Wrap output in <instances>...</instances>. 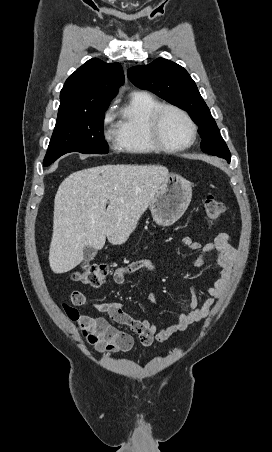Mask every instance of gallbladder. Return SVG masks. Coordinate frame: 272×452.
<instances>
[{
	"mask_svg": "<svg viewBox=\"0 0 272 452\" xmlns=\"http://www.w3.org/2000/svg\"><path fill=\"white\" fill-rule=\"evenodd\" d=\"M97 254V250L92 246H85L84 248V259L85 260H92Z\"/></svg>",
	"mask_w": 272,
	"mask_h": 452,
	"instance_id": "gallbladder-1",
	"label": "gallbladder"
}]
</instances>
